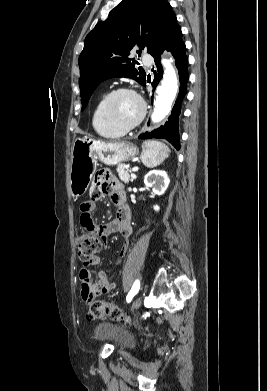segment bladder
Returning a JSON list of instances; mask_svg holds the SVG:
<instances>
[{
  "label": "bladder",
  "instance_id": "bladder-1",
  "mask_svg": "<svg viewBox=\"0 0 267 391\" xmlns=\"http://www.w3.org/2000/svg\"><path fill=\"white\" fill-rule=\"evenodd\" d=\"M94 337L98 340H110L117 347H127L132 343L128 332L109 322L99 323L94 329Z\"/></svg>",
  "mask_w": 267,
  "mask_h": 391
}]
</instances>
